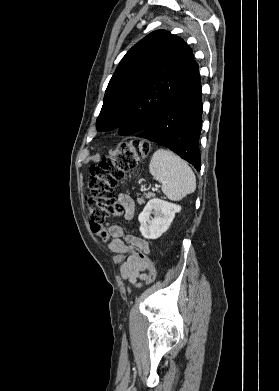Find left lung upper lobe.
<instances>
[{"label": "left lung upper lobe", "mask_w": 279, "mask_h": 391, "mask_svg": "<svg viewBox=\"0 0 279 391\" xmlns=\"http://www.w3.org/2000/svg\"><path fill=\"white\" fill-rule=\"evenodd\" d=\"M198 65L182 38L157 30L123 57L107 86L99 131L123 124L121 135L144 131L188 83Z\"/></svg>", "instance_id": "5c2ea615"}]
</instances>
